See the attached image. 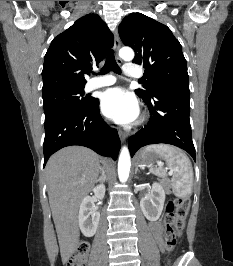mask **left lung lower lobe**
I'll return each instance as SVG.
<instances>
[{"mask_svg":"<svg viewBox=\"0 0 233 266\" xmlns=\"http://www.w3.org/2000/svg\"><path fill=\"white\" fill-rule=\"evenodd\" d=\"M149 107V124L129 138L131 156L146 145L166 143L187 151L195 160V148L190 126V91L187 86L163 90L150 100L143 99Z\"/></svg>","mask_w":233,"mask_h":266,"instance_id":"obj_1","label":"left lung lower lobe"}]
</instances>
